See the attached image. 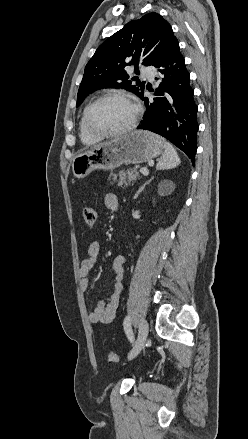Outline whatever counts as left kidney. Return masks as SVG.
<instances>
[{"label": "left kidney", "mask_w": 248, "mask_h": 439, "mask_svg": "<svg viewBox=\"0 0 248 439\" xmlns=\"http://www.w3.org/2000/svg\"><path fill=\"white\" fill-rule=\"evenodd\" d=\"M174 185L171 181L165 180L158 185V194L160 196L168 195L172 192Z\"/></svg>", "instance_id": "1"}]
</instances>
